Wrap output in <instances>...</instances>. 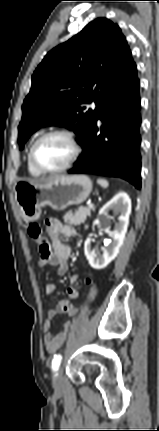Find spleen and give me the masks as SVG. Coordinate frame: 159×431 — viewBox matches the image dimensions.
I'll return each mask as SVG.
<instances>
[{
  "mask_svg": "<svg viewBox=\"0 0 159 431\" xmlns=\"http://www.w3.org/2000/svg\"><path fill=\"white\" fill-rule=\"evenodd\" d=\"M97 183H98L100 186H102L103 188H107V187H108V185H109L108 181H107V180H105V179H98V180H97Z\"/></svg>",
  "mask_w": 159,
  "mask_h": 431,
  "instance_id": "1",
  "label": "spleen"
}]
</instances>
